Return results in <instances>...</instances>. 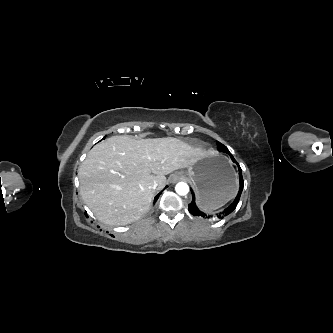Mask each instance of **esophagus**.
<instances>
[{
    "label": "esophagus",
    "mask_w": 333,
    "mask_h": 333,
    "mask_svg": "<svg viewBox=\"0 0 333 333\" xmlns=\"http://www.w3.org/2000/svg\"><path fill=\"white\" fill-rule=\"evenodd\" d=\"M180 179V175H178V174H175V175H173L172 176V182H176V181H178Z\"/></svg>",
    "instance_id": "1"
}]
</instances>
